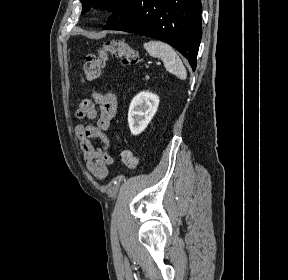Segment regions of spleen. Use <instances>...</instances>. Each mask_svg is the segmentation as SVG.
Listing matches in <instances>:
<instances>
[{"label": "spleen", "mask_w": 288, "mask_h": 280, "mask_svg": "<svg viewBox=\"0 0 288 280\" xmlns=\"http://www.w3.org/2000/svg\"><path fill=\"white\" fill-rule=\"evenodd\" d=\"M144 48L150 56L161 58L167 71L181 80L187 78V71L181 59L170 45L161 41L151 40L144 43Z\"/></svg>", "instance_id": "obj_1"}]
</instances>
